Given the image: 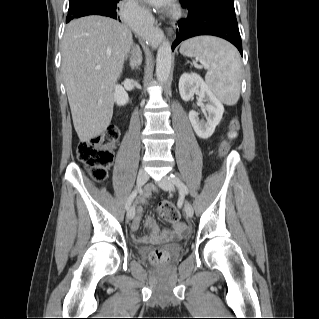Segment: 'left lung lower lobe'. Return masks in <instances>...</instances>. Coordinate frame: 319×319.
<instances>
[{"mask_svg":"<svg viewBox=\"0 0 319 319\" xmlns=\"http://www.w3.org/2000/svg\"><path fill=\"white\" fill-rule=\"evenodd\" d=\"M189 10L188 17L178 21L176 40L172 50L183 40L199 35H213L228 40L242 55L241 36L235 15L204 7L182 4Z\"/></svg>","mask_w":319,"mask_h":319,"instance_id":"left-lung-lower-lobe-1","label":"left lung lower lobe"}]
</instances>
